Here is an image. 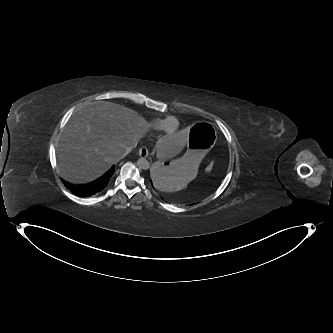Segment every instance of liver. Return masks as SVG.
I'll return each mask as SVG.
<instances>
[{
    "label": "liver",
    "instance_id": "obj_1",
    "mask_svg": "<svg viewBox=\"0 0 333 333\" xmlns=\"http://www.w3.org/2000/svg\"><path fill=\"white\" fill-rule=\"evenodd\" d=\"M149 124L135 111L107 101L77 110L66 124L57 148L58 167L68 182L82 184L102 176L127 149H134ZM184 137L159 141L160 157L169 159L186 146Z\"/></svg>",
    "mask_w": 333,
    "mask_h": 333
}]
</instances>
